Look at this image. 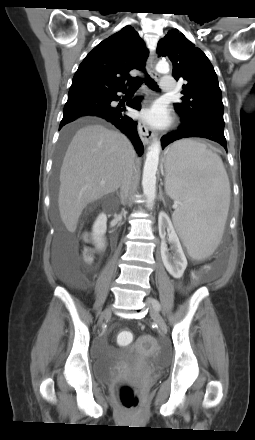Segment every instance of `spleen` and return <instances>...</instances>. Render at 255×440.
<instances>
[{"instance_id":"1","label":"spleen","mask_w":255,"mask_h":440,"mask_svg":"<svg viewBox=\"0 0 255 440\" xmlns=\"http://www.w3.org/2000/svg\"><path fill=\"white\" fill-rule=\"evenodd\" d=\"M166 164V193L180 202L173 222L189 255L197 260L217 248L230 205V183L221 158L192 140L174 143Z\"/></svg>"}]
</instances>
